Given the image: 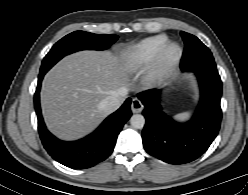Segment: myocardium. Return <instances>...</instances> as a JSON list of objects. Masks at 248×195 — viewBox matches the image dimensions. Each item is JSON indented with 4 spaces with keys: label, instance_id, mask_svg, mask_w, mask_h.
<instances>
[{
    "label": "myocardium",
    "instance_id": "myocardium-1",
    "mask_svg": "<svg viewBox=\"0 0 248 195\" xmlns=\"http://www.w3.org/2000/svg\"><path fill=\"white\" fill-rule=\"evenodd\" d=\"M174 47L177 49V53L175 56L171 57L169 53L170 50ZM182 57H183L182 46L177 42L168 41L162 47L156 59L154 60L146 76V80L152 83L164 78L179 65V63L182 60Z\"/></svg>",
    "mask_w": 248,
    "mask_h": 195
}]
</instances>
